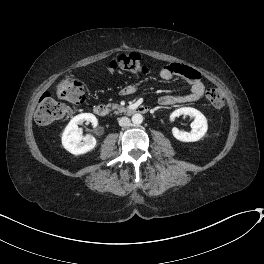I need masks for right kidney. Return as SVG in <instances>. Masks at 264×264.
I'll list each match as a JSON object with an SVG mask.
<instances>
[{
  "instance_id": "obj_1",
  "label": "right kidney",
  "mask_w": 264,
  "mask_h": 264,
  "mask_svg": "<svg viewBox=\"0 0 264 264\" xmlns=\"http://www.w3.org/2000/svg\"><path fill=\"white\" fill-rule=\"evenodd\" d=\"M84 121L97 126V118L91 113H81L73 117L62 134L63 147L74 155L85 154L96 146V139L91 135L82 136L78 132V125ZM83 140V142H81Z\"/></svg>"
}]
</instances>
